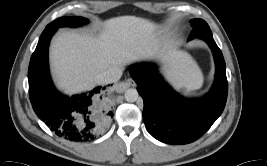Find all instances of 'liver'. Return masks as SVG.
Returning <instances> with one entry per match:
<instances>
[{"label": "liver", "mask_w": 267, "mask_h": 166, "mask_svg": "<svg viewBox=\"0 0 267 166\" xmlns=\"http://www.w3.org/2000/svg\"><path fill=\"white\" fill-rule=\"evenodd\" d=\"M160 59L179 85L200 87V69L184 52L173 50L160 37L157 26L135 16H120L102 23L98 36L64 31L52 41L50 60L59 88L76 93L101 83L98 75L137 60Z\"/></svg>", "instance_id": "liver-1"}]
</instances>
